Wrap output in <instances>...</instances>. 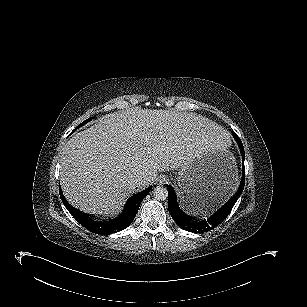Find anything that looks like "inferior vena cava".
I'll return each mask as SVG.
<instances>
[{
  "mask_svg": "<svg viewBox=\"0 0 307 307\" xmlns=\"http://www.w3.org/2000/svg\"><path fill=\"white\" fill-rule=\"evenodd\" d=\"M146 182L142 178H134L130 181V186L134 189L140 187L141 185H144Z\"/></svg>",
  "mask_w": 307,
  "mask_h": 307,
  "instance_id": "602c4592",
  "label": "inferior vena cava"
}]
</instances>
